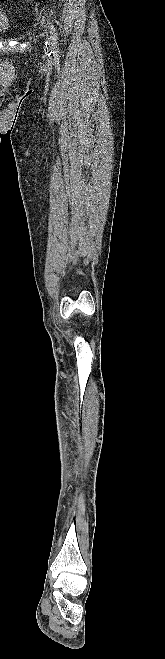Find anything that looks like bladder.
I'll return each mask as SVG.
<instances>
[{
    "label": "bladder",
    "mask_w": 165,
    "mask_h": 659,
    "mask_svg": "<svg viewBox=\"0 0 165 659\" xmlns=\"http://www.w3.org/2000/svg\"><path fill=\"white\" fill-rule=\"evenodd\" d=\"M10 27H11L10 18L0 8V33L7 34L10 30Z\"/></svg>",
    "instance_id": "1"
}]
</instances>
